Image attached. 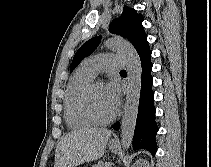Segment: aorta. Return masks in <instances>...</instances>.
<instances>
[{
  "mask_svg": "<svg viewBox=\"0 0 211 167\" xmlns=\"http://www.w3.org/2000/svg\"><path fill=\"white\" fill-rule=\"evenodd\" d=\"M104 45L123 57L127 68L128 90L124 106V116L121 123V142L124 149L131 145L136 126L140 90H141V61L135 48L120 38H109Z\"/></svg>",
  "mask_w": 211,
  "mask_h": 167,
  "instance_id": "762f6f07",
  "label": "aorta"
}]
</instances>
